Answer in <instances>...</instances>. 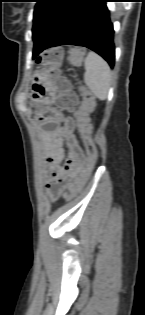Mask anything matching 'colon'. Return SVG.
I'll list each match as a JSON object with an SVG mask.
<instances>
[{
  "mask_svg": "<svg viewBox=\"0 0 145 315\" xmlns=\"http://www.w3.org/2000/svg\"><path fill=\"white\" fill-rule=\"evenodd\" d=\"M84 57V52L80 49H74L70 55V62L74 66L81 64ZM63 59V51L58 48L50 49L43 52L38 58L39 63L51 70L56 75L58 74L59 67ZM56 106L61 110L74 111L76 110V118L78 122V129L81 135L86 153H87V167L84 176L75 182L70 188L67 194V199L72 198L77 194L80 188L85 184L90 174L92 173L97 159L98 150L91 136V126L89 123V113L92 111L95 100L92 94L84 91L82 93V101L79 104V98L77 94L71 89L68 81L57 75L56 76Z\"/></svg>",
  "mask_w": 145,
  "mask_h": 315,
  "instance_id": "5ec220e1",
  "label": "colon"
}]
</instances>
